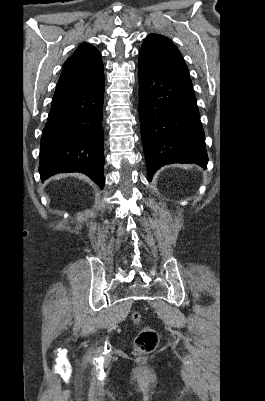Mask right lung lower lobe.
<instances>
[{"mask_svg":"<svg viewBox=\"0 0 265 401\" xmlns=\"http://www.w3.org/2000/svg\"><path fill=\"white\" fill-rule=\"evenodd\" d=\"M104 82L90 91L53 99L40 143L42 181L63 172H81L104 187Z\"/></svg>","mask_w":265,"mask_h":401,"instance_id":"1","label":"right lung lower lobe"}]
</instances>
